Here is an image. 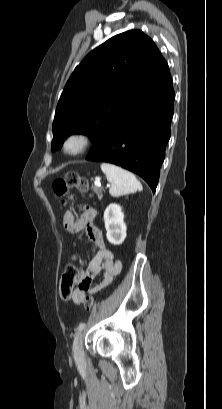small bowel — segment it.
Returning a JSON list of instances; mask_svg holds the SVG:
<instances>
[{
    "mask_svg": "<svg viewBox=\"0 0 222 409\" xmlns=\"http://www.w3.org/2000/svg\"><path fill=\"white\" fill-rule=\"evenodd\" d=\"M96 211L92 207H85L82 215L75 219L70 211L64 214V227L70 233L86 231L88 236L96 243L98 251L93 256L85 272L84 269L73 271L76 289L72 292V300L76 305L86 301L88 294H94L108 286L117 276L122 268V263L104 243L99 229L92 225ZM104 272L101 283L91 286L93 278L100 272Z\"/></svg>",
    "mask_w": 222,
    "mask_h": 409,
    "instance_id": "1",
    "label": "small bowel"
}]
</instances>
